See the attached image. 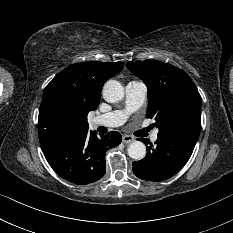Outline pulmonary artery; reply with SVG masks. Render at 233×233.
Instances as JSON below:
<instances>
[{"label": "pulmonary artery", "instance_id": "pulmonary-artery-1", "mask_svg": "<svg viewBox=\"0 0 233 233\" xmlns=\"http://www.w3.org/2000/svg\"><path fill=\"white\" fill-rule=\"evenodd\" d=\"M126 100L124 110H115L93 119L96 126L117 127L122 125L128 118V115L142 106L145 101L147 88L144 83L139 81H131L125 88ZM158 138L157 133L151 136L152 141Z\"/></svg>", "mask_w": 233, "mask_h": 233}]
</instances>
